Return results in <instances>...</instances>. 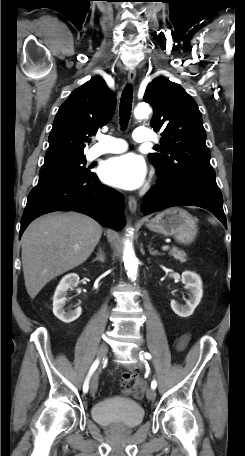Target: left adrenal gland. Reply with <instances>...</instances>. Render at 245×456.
Wrapping results in <instances>:
<instances>
[{
  "label": "left adrenal gland",
  "instance_id": "left-adrenal-gland-1",
  "mask_svg": "<svg viewBox=\"0 0 245 456\" xmlns=\"http://www.w3.org/2000/svg\"><path fill=\"white\" fill-rule=\"evenodd\" d=\"M148 250H149V253H150L151 255H162V253H159L157 250H154V249L151 247V244H149Z\"/></svg>",
  "mask_w": 245,
  "mask_h": 456
}]
</instances>
